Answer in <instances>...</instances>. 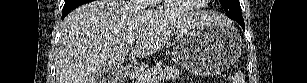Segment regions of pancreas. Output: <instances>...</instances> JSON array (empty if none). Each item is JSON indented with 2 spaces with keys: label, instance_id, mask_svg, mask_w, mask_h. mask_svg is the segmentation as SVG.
Instances as JSON below:
<instances>
[{
  "label": "pancreas",
  "instance_id": "1",
  "mask_svg": "<svg viewBox=\"0 0 307 83\" xmlns=\"http://www.w3.org/2000/svg\"><path fill=\"white\" fill-rule=\"evenodd\" d=\"M146 72H150L152 74L156 75H162L164 79H178L181 75L179 70L174 67H165L162 68L160 65L154 66V68L147 69L145 71H142L137 76V83H145L144 77Z\"/></svg>",
  "mask_w": 307,
  "mask_h": 83
}]
</instances>
